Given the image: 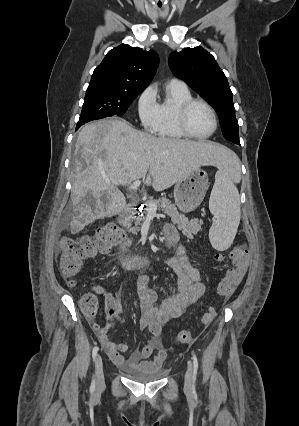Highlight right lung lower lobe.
Returning <instances> with one entry per match:
<instances>
[{"mask_svg": "<svg viewBox=\"0 0 299 426\" xmlns=\"http://www.w3.org/2000/svg\"><path fill=\"white\" fill-rule=\"evenodd\" d=\"M95 119H101V118H91V119H86V120L80 121V122H78V123H77L76 130H77V129L81 126V125H83V124H85V123H87V122H89V121H91V120H95Z\"/></svg>", "mask_w": 299, "mask_h": 426, "instance_id": "1", "label": "right lung lower lobe"}]
</instances>
